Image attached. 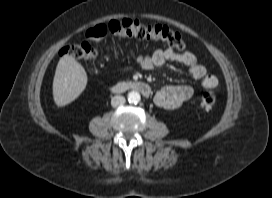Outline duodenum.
I'll list each match as a JSON object with an SVG mask.
<instances>
[{
    "label": "duodenum",
    "mask_w": 272,
    "mask_h": 198,
    "mask_svg": "<svg viewBox=\"0 0 272 198\" xmlns=\"http://www.w3.org/2000/svg\"><path fill=\"white\" fill-rule=\"evenodd\" d=\"M110 92L112 93H124L129 90H135L141 93L144 97H150L151 96V88L150 86L143 81H123L118 82L112 86H110Z\"/></svg>",
    "instance_id": "obj_1"
}]
</instances>
